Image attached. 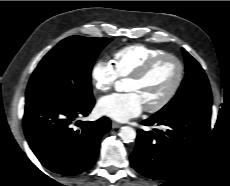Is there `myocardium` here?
Returning a JSON list of instances; mask_svg holds the SVG:
<instances>
[{
    "mask_svg": "<svg viewBox=\"0 0 230 186\" xmlns=\"http://www.w3.org/2000/svg\"><path fill=\"white\" fill-rule=\"evenodd\" d=\"M164 60H172L177 66V75L174 83L172 84L169 91L165 94V96L156 102L153 105H149L145 107V110L148 112H157L166 107L172 99L175 97L177 92L179 91L185 76V66L183 62L175 55L165 53L159 56H156L149 61H147L144 65H142L134 74L129 76L128 78L133 81H141L146 78L151 71L162 61Z\"/></svg>",
    "mask_w": 230,
    "mask_h": 186,
    "instance_id": "myocardium-1",
    "label": "myocardium"
}]
</instances>
